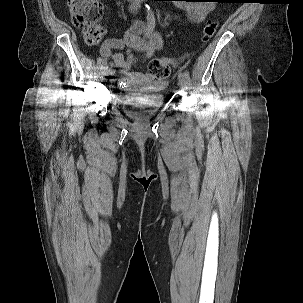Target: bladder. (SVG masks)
I'll return each mask as SVG.
<instances>
[{
    "label": "bladder",
    "mask_w": 303,
    "mask_h": 303,
    "mask_svg": "<svg viewBox=\"0 0 303 303\" xmlns=\"http://www.w3.org/2000/svg\"><path fill=\"white\" fill-rule=\"evenodd\" d=\"M163 105L161 99L144 101L126 100L123 103L128 117L134 120H141L157 112Z\"/></svg>",
    "instance_id": "31cf9c89"
}]
</instances>
